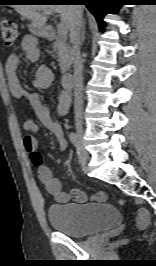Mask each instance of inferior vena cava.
Listing matches in <instances>:
<instances>
[{
  "label": "inferior vena cava",
  "instance_id": "602c4592",
  "mask_svg": "<svg viewBox=\"0 0 156 266\" xmlns=\"http://www.w3.org/2000/svg\"><path fill=\"white\" fill-rule=\"evenodd\" d=\"M81 30H82V16L78 9L75 8L73 22L70 28V39L73 44V58H74V113L75 120L81 121L83 99H82V88H83V66L82 59L80 56L81 46Z\"/></svg>",
  "mask_w": 156,
  "mask_h": 266
}]
</instances>
